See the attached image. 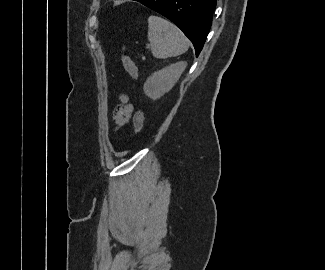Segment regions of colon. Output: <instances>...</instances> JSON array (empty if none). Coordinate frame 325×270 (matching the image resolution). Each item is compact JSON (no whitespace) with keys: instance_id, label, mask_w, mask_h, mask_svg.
Returning <instances> with one entry per match:
<instances>
[{"instance_id":"5ec220e1","label":"colon","mask_w":325,"mask_h":270,"mask_svg":"<svg viewBox=\"0 0 325 270\" xmlns=\"http://www.w3.org/2000/svg\"><path fill=\"white\" fill-rule=\"evenodd\" d=\"M121 61H122L123 67L127 71V73L133 79H137L138 78V70H137L135 63L132 61V59L129 56L122 54ZM133 121H134V133L138 134L142 130L143 125H144L143 112L140 110H137L134 114Z\"/></svg>"}]
</instances>
